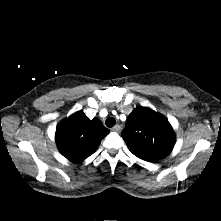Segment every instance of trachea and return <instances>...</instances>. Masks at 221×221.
Wrapping results in <instances>:
<instances>
[{"label":"trachea","mask_w":221,"mask_h":221,"mask_svg":"<svg viewBox=\"0 0 221 221\" xmlns=\"http://www.w3.org/2000/svg\"><path fill=\"white\" fill-rule=\"evenodd\" d=\"M116 121L113 117H109L106 121L105 124L107 127H113L115 125Z\"/></svg>","instance_id":"trachea-1"}]
</instances>
